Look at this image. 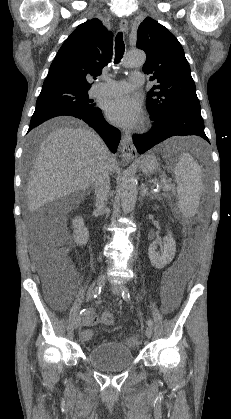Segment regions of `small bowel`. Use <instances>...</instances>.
Wrapping results in <instances>:
<instances>
[{"label":"small bowel","instance_id":"1","mask_svg":"<svg viewBox=\"0 0 231 419\" xmlns=\"http://www.w3.org/2000/svg\"><path fill=\"white\" fill-rule=\"evenodd\" d=\"M180 300V290L175 278L166 276L162 282V306L165 312H171L178 305ZM98 323V317L93 311H87L83 322L84 328L81 330V338L84 342H89L93 337L90 327Z\"/></svg>","mask_w":231,"mask_h":419}]
</instances>
